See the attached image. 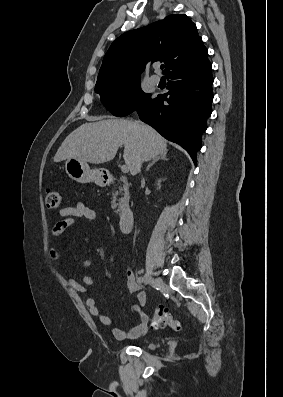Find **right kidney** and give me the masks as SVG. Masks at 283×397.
Masks as SVG:
<instances>
[{
	"instance_id": "obj_1",
	"label": "right kidney",
	"mask_w": 283,
	"mask_h": 397,
	"mask_svg": "<svg viewBox=\"0 0 283 397\" xmlns=\"http://www.w3.org/2000/svg\"><path fill=\"white\" fill-rule=\"evenodd\" d=\"M160 187H161V180H158V182H157V189H160Z\"/></svg>"
}]
</instances>
